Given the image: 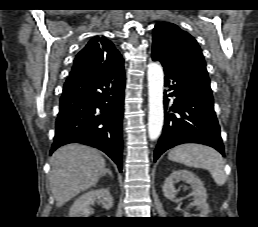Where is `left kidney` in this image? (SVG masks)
<instances>
[{
	"label": "left kidney",
	"mask_w": 258,
	"mask_h": 227,
	"mask_svg": "<svg viewBox=\"0 0 258 227\" xmlns=\"http://www.w3.org/2000/svg\"><path fill=\"white\" fill-rule=\"evenodd\" d=\"M184 181L190 184L193 188L191 196H193V202L189 207H196L199 211V215L195 217H208L210 213L209 205L207 204V193L203 182L188 170H174L166 179L163 185L164 196L172 201L180 202L176 199L177 190L174 184ZM185 217H193L192 215L185 213Z\"/></svg>",
	"instance_id": "5707ae66"
}]
</instances>
